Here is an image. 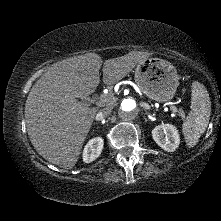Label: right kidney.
<instances>
[{"instance_id": "1", "label": "right kidney", "mask_w": 221, "mask_h": 221, "mask_svg": "<svg viewBox=\"0 0 221 221\" xmlns=\"http://www.w3.org/2000/svg\"><path fill=\"white\" fill-rule=\"evenodd\" d=\"M103 139L101 137H95L91 139L85 146L83 150V161L86 163H90L102 152L103 149Z\"/></svg>"}]
</instances>
